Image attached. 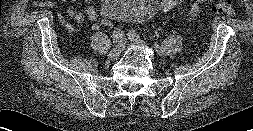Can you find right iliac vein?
Wrapping results in <instances>:
<instances>
[{
    "instance_id": "right-iliac-vein-1",
    "label": "right iliac vein",
    "mask_w": 253,
    "mask_h": 131,
    "mask_svg": "<svg viewBox=\"0 0 253 131\" xmlns=\"http://www.w3.org/2000/svg\"><path fill=\"white\" fill-rule=\"evenodd\" d=\"M123 46L124 43L123 42H119L109 53L108 58L110 60H115L118 58V56L121 54L122 50H123Z\"/></svg>"
}]
</instances>
